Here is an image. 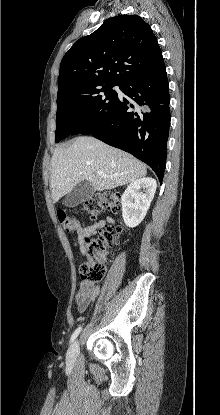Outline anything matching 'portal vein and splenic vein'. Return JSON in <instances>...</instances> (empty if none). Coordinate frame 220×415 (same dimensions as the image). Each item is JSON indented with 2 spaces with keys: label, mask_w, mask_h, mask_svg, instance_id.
Masks as SVG:
<instances>
[{
  "label": "portal vein and splenic vein",
  "mask_w": 220,
  "mask_h": 415,
  "mask_svg": "<svg viewBox=\"0 0 220 415\" xmlns=\"http://www.w3.org/2000/svg\"><path fill=\"white\" fill-rule=\"evenodd\" d=\"M97 174L99 175V176H101V177H106V175L104 174V172H102V171H98L97 172Z\"/></svg>",
  "instance_id": "obj_1"
}]
</instances>
